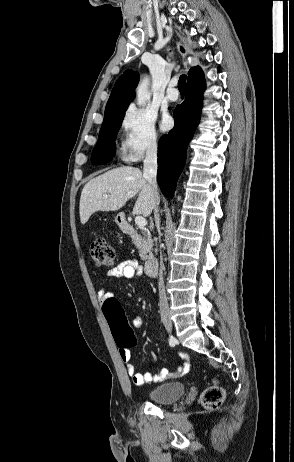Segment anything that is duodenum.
I'll return each instance as SVG.
<instances>
[{
    "mask_svg": "<svg viewBox=\"0 0 294 462\" xmlns=\"http://www.w3.org/2000/svg\"><path fill=\"white\" fill-rule=\"evenodd\" d=\"M118 224L120 229L127 234L135 235L136 230L135 228L127 221L124 216L118 217ZM145 273L149 277H155L158 273V261L155 257H151L146 260L145 262Z\"/></svg>",
    "mask_w": 294,
    "mask_h": 462,
    "instance_id": "obj_1",
    "label": "duodenum"
}]
</instances>
